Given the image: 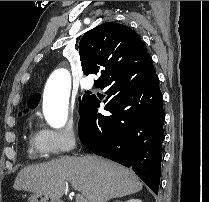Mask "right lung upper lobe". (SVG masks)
I'll list each match as a JSON object with an SVG mask.
<instances>
[{"label": "right lung upper lobe", "mask_w": 209, "mask_h": 202, "mask_svg": "<svg viewBox=\"0 0 209 202\" xmlns=\"http://www.w3.org/2000/svg\"><path fill=\"white\" fill-rule=\"evenodd\" d=\"M79 54L85 75H99V86L111 81L113 87L123 86L132 75L145 71L143 58L151 59L141 38L131 28L116 22L103 23L81 38ZM40 94L32 95L27 106L35 108Z\"/></svg>", "instance_id": "obj_1"}]
</instances>
